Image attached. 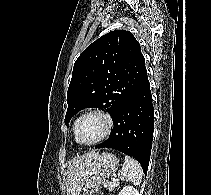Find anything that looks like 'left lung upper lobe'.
<instances>
[{"mask_svg": "<svg viewBox=\"0 0 211 195\" xmlns=\"http://www.w3.org/2000/svg\"><path fill=\"white\" fill-rule=\"evenodd\" d=\"M147 73L139 42L131 32L111 31L91 43L74 63L65 124L84 108L114 117Z\"/></svg>", "mask_w": 211, "mask_h": 195, "instance_id": "left-lung-upper-lobe-1", "label": "left lung upper lobe"}]
</instances>
